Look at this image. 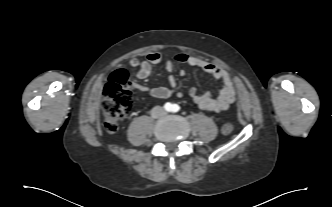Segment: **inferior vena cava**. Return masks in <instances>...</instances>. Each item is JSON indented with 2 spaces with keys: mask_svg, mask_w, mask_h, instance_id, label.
<instances>
[{
  "mask_svg": "<svg viewBox=\"0 0 332 207\" xmlns=\"http://www.w3.org/2000/svg\"><path fill=\"white\" fill-rule=\"evenodd\" d=\"M165 114V110L162 108V107H160V106H155L152 110H151V116L153 117V118H158V117H160V116H162V115H164Z\"/></svg>",
  "mask_w": 332,
  "mask_h": 207,
  "instance_id": "602c4592",
  "label": "inferior vena cava"
}]
</instances>
